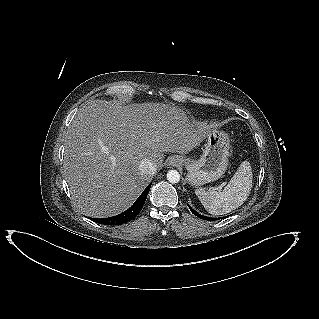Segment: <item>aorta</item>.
I'll list each match as a JSON object with an SVG mask.
<instances>
[{"mask_svg": "<svg viewBox=\"0 0 319 319\" xmlns=\"http://www.w3.org/2000/svg\"><path fill=\"white\" fill-rule=\"evenodd\" d=\"M167 180L170 183H178L180 181V174L176 170H169L167 172Z\"/></svg>", "mask_w": 319, "mask_h": 319, "instance_id": "aorta-1", "label": "aorta"}]
</instances>
